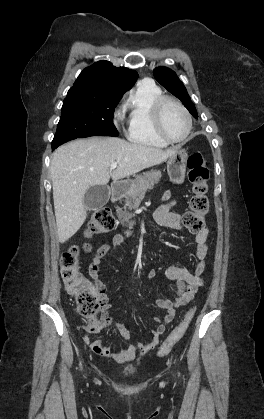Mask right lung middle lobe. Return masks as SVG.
<instances>
[{"label": "right lung middle lobe", "mask_w": 264, "mask_h": 419, "mask_svg": "<svg viewBox=\"0 0 264 419\" xmlns=\"http://www.w3.org/2000/svg\"><path fill=\"white\" fill-rule=\"evenodd\" d=\"M122 96L70 89L63 102L52 147L85 136H118L113 114Z\"/></svg>", "instance_id": "right-lung-middle-lobe-1"}]
</instances>
